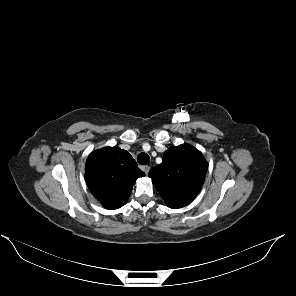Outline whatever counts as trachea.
I'll use <instances>...</instances> for the list:
<instances>
[{"instance_id":"1","label":"trachea","mask_w":296,"mask_h":296,"mask_svg":"<svg viewBox=\"0 0 296 296\" xmlns=\"http://www.w3.org/2000/svg\"><path fill=\"white\" fill-rule=\"evenodd\" d=\"M137 161L139 164L141 165H148L150 163V157L148 154L146 153H140L138 156H137Z\"/></svg>"}]
</instances>
